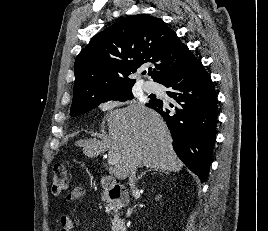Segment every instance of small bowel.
<instances>
[{"instance_id": "1", "label": "small bowel", "mask_w": 268, "mask_h": 231, "mask_svg": "<svg viewBox=\"0 0 268 231\" xmlns=\"http://www.w3.org/2000/svg\"><path fill=\"white\" fill-rule=\"evenodd\" d=\"M85 196V189L82 186H74L70 189L68 195L65 197V203L81 200ZM60 231H71L73 223L68 215H62L58 219Z\"/></svg>"}]
</instances>
